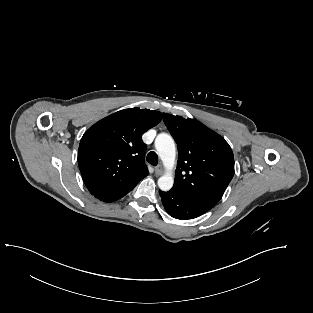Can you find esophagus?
<instances>
[{"label":"esophagus","mask_w":313,"mask_h":313,"mask_svg":"<svg viewBox=\"0 0 313 313\" xmlns=\"http://www.w3.org/2000/svg\"><path fill=\"white\" fill-rule=\"evenodd\" d=\"M163 172V166L162 165H158L156 168H155V173L156 175H161Z\"/></svg>","instance_id":"1"}]
</instances>
